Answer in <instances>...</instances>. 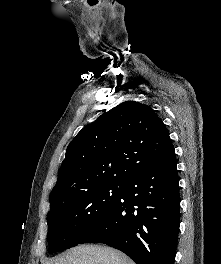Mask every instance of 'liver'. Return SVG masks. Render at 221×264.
I'll list each match as a JSON object with an SVG mask.
<instances>
[{"label": "liver", "instance_id": "obj_1", "mask_svg": "<svg viewBox=\"0 0 221 264\" xmlns=\"http://www.w3.org/2000/svg\"><path fill=\"white\" fill-rule=\"evenodd\" d=\"M45 264H135L120 251L95 245H81Z\"/></svg>", "mask_w": 221, "mask_h": 264}]
</instances>
